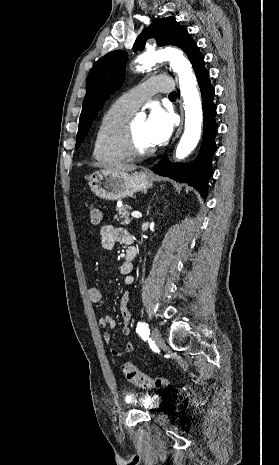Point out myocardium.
Instances as JSON below:
<instances>
[{
	"mask_svg": "<svg viewBox=\"0 0 279 465\" xmlns=\"http://www.w3.org/2000/svg\"><path fill=\"white\" fill-rule=\"evenodd\" d=\"M132 122L127 121L118 135L115 146L125 156L133 158H141L151 155L155 148L151 147L146 150H138L133 143Z\"/></svg>",
	"mask_w": 279,
	"mask_h": 465,
	"instance_id": "myocardium-1",
	"label": "myocardium"
}]
</instances>
